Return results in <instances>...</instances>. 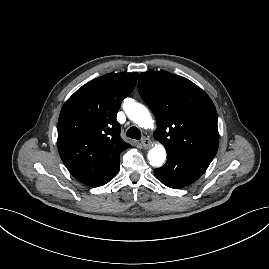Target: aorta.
Returning a JSON list of instances; mask_svg holds the SVG:
<instances>
[{
    "label": "aorta",
    "mask_w": 269,
    "mask_h": 269,
    "mask_svg": "<svg viewBox=\"0 0 269 269\" xmlns=\"http://www.w3.org/2000/svg\"><path fill=\"white\" fill-rule=\"evenodd\" d=\"M124 111L128 118L143 128H149L153 125V120L149 110L142 104L134 101L124 103ZM149 163L153 167H161L166 160V149L158 143L152 147L147 155Z\"/></svg>",
    "instance_id": "762f6f07"
}]
</instances>
